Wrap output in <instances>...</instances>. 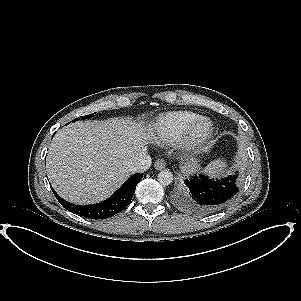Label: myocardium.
I'll list each match as a JSON object with an SVG mask.
<instances>
[{
    "mask_svg": "<svg viewBox=\"0 0 301 301\" xmlns=\"http://www.w3.org/2000/svg\"><path fill=\"white\" fill-rule=\"evenodd\" d=\"M201 126L206 127L205 131L200 132ZM214 130L213 121L208 117L201 116L178 139L179 146L185 152H197L209 142L214 134Z\"/></svg>",
    "mask_w": 301,
    "mask_h": 301,
    "instance_id": "myocardium-1",
    "label": "myocardium"
}]
</instances>
